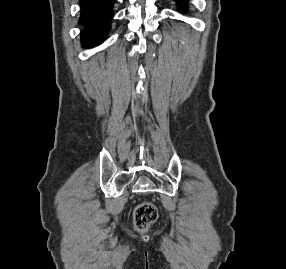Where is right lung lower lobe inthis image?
<instances>
[{
    "label": "right lung lower lobe",
    "instance_id": "98d812e1",
    "mask_svg": "<svg viewBox=\"0 0 286 269\" xmlns=\"http://www.w3.org/2000/svg\"><path fill=\"white\" fill-rule=\"evenodd\" d=\"M114 1L80 0L81 15L79 23L85 27L81 32L83 46L90 47L104 41L114 15L112 11Z\"/></svg>",
    "mask_w": 286,
    "mask_h": 269
}]
</instances>
